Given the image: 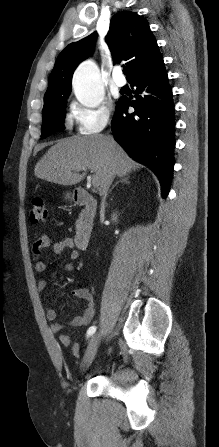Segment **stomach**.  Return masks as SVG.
<instances>
[{"instance_id":"obj_1","label":"stomach","mask_w":219,"mask_h":447,"mask_svg":"<svg viewBox=\"0 0 219 447\" xmlns=\"http://www.w3.org/2000/svg\"><path fill=\"white\" fill-rule=\"evenodd\" d=\"M74 195H71V193L66 194V199H73Z\"/></svg>"}]
</instances>
